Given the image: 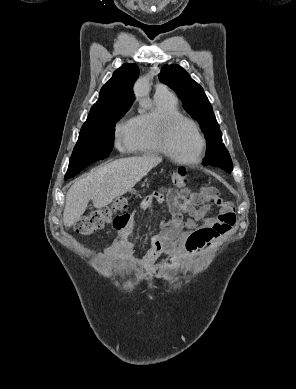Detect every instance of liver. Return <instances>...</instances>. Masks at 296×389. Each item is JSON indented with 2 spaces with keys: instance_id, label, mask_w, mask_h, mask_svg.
I'll return each mask as SVG.
<instances>
[{
  "instance_id": "liver-1",
  "label": "liver",
  "mask_w": 296,
  "mask_h": 389,
  "mask_svg": "<svg viewBox=\"0 0 296 389\" xmlns=\"http://www.w3.org/2000/svg\"><path fill=\"white\" fill-rule=\"evenodd\" d=\"M161 162L162 158L155 155L118 159L76 180L66 194L63 212L65 227L79 221L90 200L95 208L107 206L116 197L131 190Z\"/></svg>"
}]
</instances>
